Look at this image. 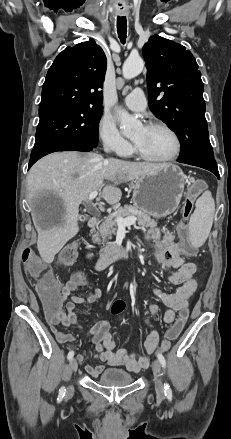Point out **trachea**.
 Wrapping results in <instances>:
<instances>
[{
    "instance_id": "3493384b",
    "label": "trachea",
    "mask_w": 231,
    "mask_h": 439,
    "mask_svg": "<svg viewBox=\"0 0 231 439\" xmlns=\"http://www.w3.org/2000/svg\"><path fill=\"white\" fill-rule=\"evenodd\" d=\"M117 33L120 41L124 44L127 34V20L126 16L117 17Z\"/></svg>"
}]
</instances>
